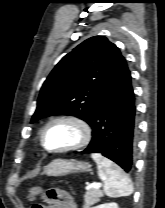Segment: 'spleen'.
Returning <instances> with one entry per match:
<instances>
[{"instance_id":"obj_1","label":"spleen","mask_w":165,"mask_h":208,"mask_svg":"<svg viewBox=\"0 0 165 208\" xmlns=\"http://www.w3.org/2000/svg\"><path fill=\"white\" fill-rule=\"evenodd\" d=\"M97 164L98 176L104 182V192L109 197H127L133 193L131 180L122 169L99 153L91 155Z\"/></svg>"}]
</instances>
